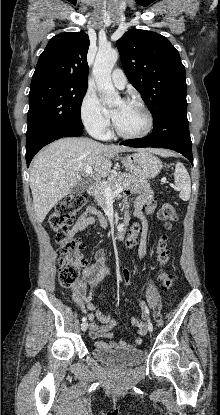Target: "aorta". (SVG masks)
<instances>
[{
    "mask_svg": "<svg viewBox=\"0 0 220 415\" xmlns=\"http://www.w3.org/2000/svg\"><path fill=\"white\" fill-rule=\"evenodd\" d=\"M117 59L118 52L116 50L99 49L93 66V75L101 93V100L109 107L120 102V96L111 81V72Z\"/></svg>",
    "mask_w": 220,
    "mask_h": 415,
    "instance_id": "aorta-1",
    "label": "aorta"
}]
</instances>
